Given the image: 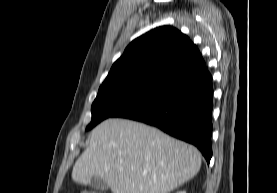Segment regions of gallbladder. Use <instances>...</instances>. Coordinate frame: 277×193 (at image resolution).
<instances>
[{
  "label": "gallbladder",
  "instance_id": "obj_1",
  "mask_svg": "<svg viewBox=\"0 0 277 193\" xmlns=\"http://www.w3.org/2000/svg\"><path fill=\"white\" fill-rule=\"evenodd\" d=\"M90 186L96 190L106 191L109 186L106 181L100 177H93L90 182Z\"/></svg>",
  "mask_w": 277,
  "mask_h": 193
}]
</instances>
